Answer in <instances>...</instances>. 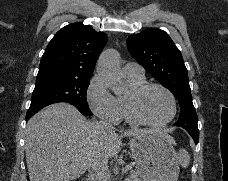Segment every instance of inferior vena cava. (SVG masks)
<instances>
[{
  "instance_id": "obj_1",
  "label": "inferior vena cava",
  "mask_w": 228,
  "mask_h": 181,
  "mask_svg": "<svg viewBox=\"0 0 228 181\" xmlns=\"http://www.w3.org/2000/svg\"><path fill=\"white\" fill-rule=\"evenodd\" d=\"M102 129L105 133H112L114 127L111 123L107 121H99L95 125H91L89 129V135H92L95 129ZM88 181H109V171H108V159L107 157H101L98 153H92L89 159L88 167Z\"/></svg>"
}]
</instances>
